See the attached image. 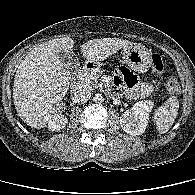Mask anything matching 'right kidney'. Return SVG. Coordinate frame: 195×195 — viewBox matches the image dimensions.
Returning <instances> with one entry per match:
<instances>
[{"label": "right kidney", "mask_w": 195, "mask_h": 195, "mask_svg": "<svg viewBox=\"0 0 195 195\" xmlns=\"http://www.w3.org/2000/svg\"><path fill=\"white\" fill-rule=\"evenodd\" d=\"M68 123L66 116L57 114L54 119L48 124L50 131H60L65 128Z\"/></svg>", "instance_id": "ca27d5eb"}]
</instances>
